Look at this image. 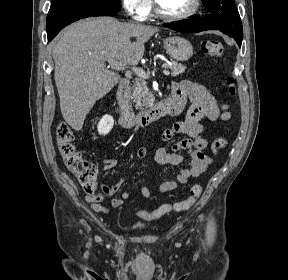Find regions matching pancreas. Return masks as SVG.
<instances>
[{"mask_svg":"<svg viewBox=\"0 0 288 280\" xmlns=\"http://www.w3.org/2000/svg\"><path fill=\"white\" fill-rule=\"evenodd\" d=\"M164 66L172 70V76L182 74L186 67L182 66L176 61H170L165 63ZM132 99L135 103L136 109L142 110L144 107L147 108L154 101L152 94L150 93L145 78L138 75L133 86H132Z\"/></svg>","mask_w":288,"mask_h":280,"instance_id":"pancreas-1","label":"pancreas"}]
</instances>
